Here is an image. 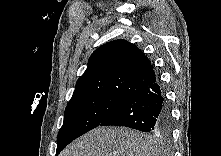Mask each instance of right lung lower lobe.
I'll list each match as a JSON object with an SVG mask.
<instances>
[{"label":"right lung lower lobe","mask_w":221,"mask_h":156,"mask_svg":"<svg viewBox=\"0 0 221 156\" xmlns=\"http://www.w3.org/2000/svg\"><path fill=\"white\" fill-rule=\"evenodd\" d=\"M117 125L143 132L169 131L171 115L157 82L138 91L115 109L99 126Z\"/></svg>","instance_id":"98d812e1"}]
</instances>
